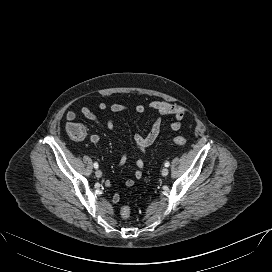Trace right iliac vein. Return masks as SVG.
Wrapping results in <instances>:
<instances>
[{
    "label": "right iliac vein",
    "mask_w": 272,
    "mask_h": 272,
    "mask_svg": "<svg viewBox=\"0 0 272 272\" xmlns=\"http://www.w3.org/2000/svg\"><path fill=\"white\" fill-rule=\"evenodd\" d=\"M95 175H96L97 178H100V177L102 176L101 170L97 169V170L95 171Z\"/></svg>",
    "instance_id": "1"
}]
</instances>
